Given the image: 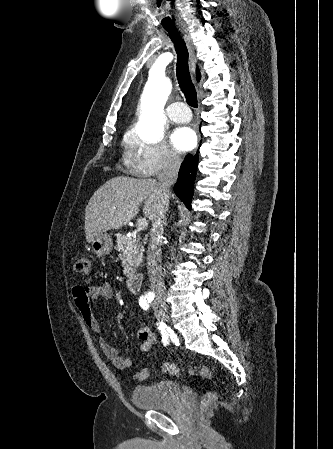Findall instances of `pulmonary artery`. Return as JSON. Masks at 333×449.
I'll list each match as a JSON object with an SVG mask.
<instances>
[{
	"label": "pulmonary artery",
	"instance_id": "e3ab8cb5",
	"mask_svg": "<svg viewBox=\"0 0 333 449\" xmlns=\"http://www.w3.org/2000/svg\"><path fill=\"white\" fill-rule=\"evenodd\" d=\"M168 117L174 122H187L191 119V112L183 102H174L166 108Z\"/></svg>",
	"mask_w": 333,
	"mask_h": 449
}]
</instances>
